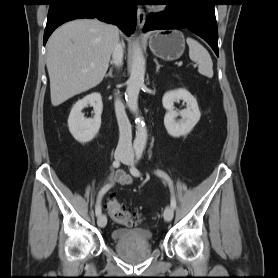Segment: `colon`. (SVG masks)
<instances>
[{"mask_svg": "<svg viewBox=\"0 0 278 278\" xmlns=\"http://www.w3.org/2000/svg\"><path fill=\"white\" fill-rule=\"evenodd\" d=\"M106 207L110 216L119 224L135 226L142 221L140 213L127 209L113 197L107 200Z\"/></svg>", "mask_w": 278, "mask_h": 278, "instance_id": "obj_1", "label": "colon"}]
</instances>
